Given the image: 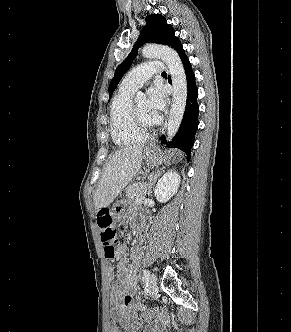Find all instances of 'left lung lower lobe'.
Listing matches in <instances>:
<instances>
[{
    "instance_id": "0a47b994",
    "label": "left lung lower lobe",
    "mask_w": 291,
    "mask_h": 332,
    "mask_svg": "<svg viewBox=\"0 0 291 332\" xmlns=\"http://www.w3.org/2000/svg\"><path fill=\"white\" fill-rule=\"evenodd\" d=\"M187 80V100L181 125L178 132L172 141L168 144L169 147L178 148L182 150L191 158V148L194 144L195 133L198 128V113L199 105L197 103L198 89L195 83V75L191 68V63L182 48L178 52ZM162 143H166L165 136L161 138Z\"/></svg>"
}]
</instances>
